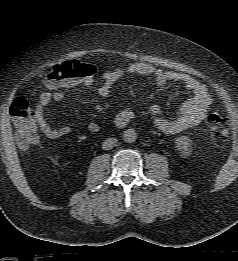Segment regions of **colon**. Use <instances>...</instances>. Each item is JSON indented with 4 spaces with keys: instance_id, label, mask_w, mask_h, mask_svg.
<instances>
[{
    "instance_id": "obj_1",
    "label": "colon",
    "mask_w": 238,
    "mask_h": 261,
    "mask_svg": "<svg viewBox=\"0 0 238 261\" xmlns=\"http://www.w3.org/2000/svg\"><path fill=\"white\" fill-rule=\"evenodd\" d=\"M96 72L95 66L77 61H66L54 66L46 76V85L51 88L70 86L79 79L93 76ZM13 118L15 136L18 146L27 149L38 143L39 135L35 110L25 98H17L10 109ZM207 124L212 140L222 144L228 133V119L219 112H212L207 117Z\"/></svg>"
}]
</instances>
